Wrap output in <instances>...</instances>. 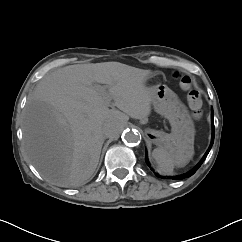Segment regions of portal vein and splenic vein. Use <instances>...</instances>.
Returning a JSON list of instances; mask_svg holds the SVG:
<instances>
[{
	"label": "portal vein and splenic vein",
	"instance_id": "1",
	"mask_svg": "<svg viewBox=\"0 0 242 242\" xmlns=\"http://www.w3.org/2000/svg\"><path fill=\"white\" fill-rule=\"evenodd\" d=\"M99 91L102 93V95L106 98V101L110 104L111 99L109 98L108 94L106 93V87L98 86Z\"/></svg>",
	"mask_w": 242,
	"mask_h": 242
}]
</instances>
